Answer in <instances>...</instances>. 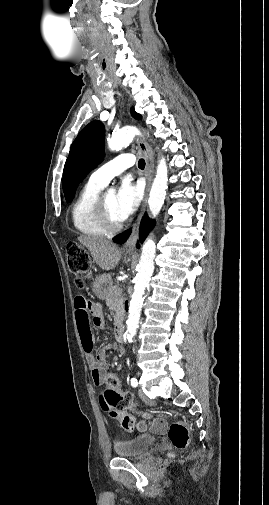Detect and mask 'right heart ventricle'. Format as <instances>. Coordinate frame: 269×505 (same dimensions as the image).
Returning a JSON list of instances; mask_svg holds the SVG:
<instances>
[{"instance_id": "e07e8e85", "label": "right heart ventricle", "mask_w": 269, "mask_h": 505, "mask_svg": "<svg viewBox=\"0 0 269 505\" xmlns=\"http://www.w3.org/2000/svg\"><path fill=\"white\" fill-rule=\"evenodd\" d=\"M102 188L88 181L73 203L71 210L72 222L74 227L83 235L102 237L108 233L100 223L96 212V203Z\"/></svg>"}]
</instances>
